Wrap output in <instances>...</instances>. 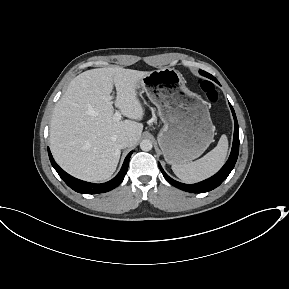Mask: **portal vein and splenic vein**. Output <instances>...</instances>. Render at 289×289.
Masks as SVG:
<instances>
[{"instance_id": "18ae733b", "label": "portal vein and splenic vein", "mask_w": 289, "mask_h": 289, "mask_svg": "<svg viewBox=\"0 0 289 289\" xmlns=\"http://www.w3.org/2000/svg\"><path fill=\"white\" fill-rule=\"evenodd\" d=\"M121 113L119 111H116L113 118L115 121H120L121 120Z\"/></svg>"}]
</instances>
